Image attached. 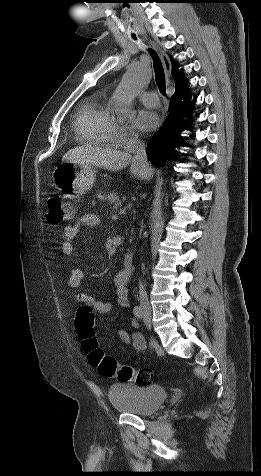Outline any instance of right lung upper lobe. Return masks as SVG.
Masks as SVG:
<instances>
[{
	"label": "right lung upper lobe",
	"instance_id": "right-lung-upper-lobe-1",
	"mask_svg": "<svg viewBox=\"0 0 261 476\" xmlns=\"http://www.w3.org/2000/svg\"><path fill=\"white\" fill-rule=\"evenodd\" d=\"M171 62H172V74L174 76L175 87H176V86L180 85L183 82V79H182L181 76L178 75L177 65L175 64V62L173 61L172 58H171Z\"/></svg>",
	"mask_w": 261,
	"mask_h": 476
}]
</instances>
